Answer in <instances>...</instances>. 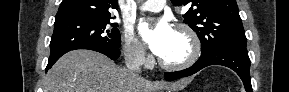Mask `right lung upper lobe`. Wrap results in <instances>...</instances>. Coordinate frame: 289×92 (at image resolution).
<instances>
[{"mask_svg": "<svg viewBox=\"0 0 289 92\" xmlns=\"http://www.w3.org/2000/svg\"><path fill=\"white\" fill-rule=\"evenodd\" d=\"M109 8L118 9L117 0H63L55 21L76 17L111 19Z\"/></svg>", "mask_w": 289, "mask_h": 92, "instance_id": "obj_1", "label": "right lung upper lobe"}]
</instances>
